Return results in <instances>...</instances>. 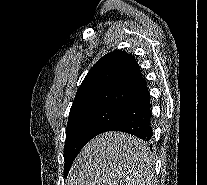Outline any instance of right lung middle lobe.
<instances>
[{
	"mask_svg": "<svg viewBox=\"0 0 207 185\" xmlns=\"http://www.w3.org/2000/svg\"><path fill=\"white\" fill-rule=\"evenodd\" d=\"M122 110L107 106L89 108L69 116L64 146L65 176L82 147L103 133Z\"/></svg>",
	"mask_w": 207,
	"mask_h": 185,
	"instance_id": "dd1d6c3e",
	"label": "right lung middle lobe"
}]
</instances>
